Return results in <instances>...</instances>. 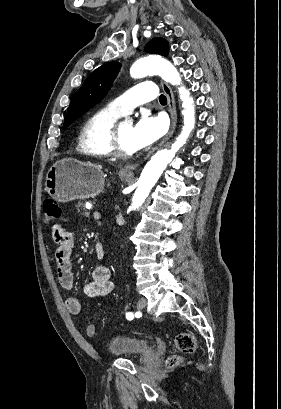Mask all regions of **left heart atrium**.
I'll use <instances>...</instances> for the list:
<instances>
[{"mask_svg": "<svg viewBox=\"0 0 281 409\" xmlns=\"http://www.w3.org/2000/svg\"><path fill=\"white\" fill-rule=\"evenodd\" d=\"M166 131V122L160 117H152L145 115L133 129V142L136 149H143L149 147L159 138L163 136Z\"/></svg>", "mask_w": 281, "mask_h": 409, "instance_id": "1", "label": "left heart atrium"}]
</instances>
